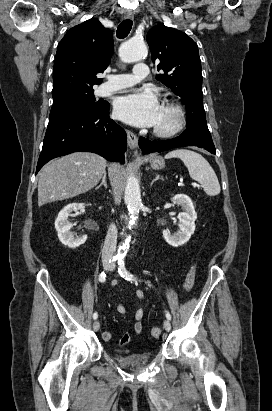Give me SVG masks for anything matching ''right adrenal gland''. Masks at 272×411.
<instances>
[{"label": "right adrenal gland", "instance_id": "2a0ac1e0", "mask_svg": "<svg viewBox=\"0 0 272 411\" xmlns=\"http://www.w3.org/2000/svg\"><path fill=\"white\" fill-rule=\"evenodd\" d=\"M101 186H104L105 188H107L106 173L103 174V176H102V181H101V183L96 187V190L99 189Z\"/></svg>", "mask_w": 272, "mask_h": 411}]
</instances>
